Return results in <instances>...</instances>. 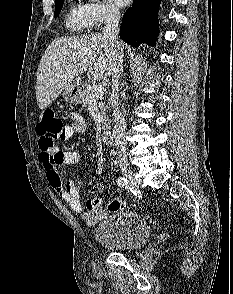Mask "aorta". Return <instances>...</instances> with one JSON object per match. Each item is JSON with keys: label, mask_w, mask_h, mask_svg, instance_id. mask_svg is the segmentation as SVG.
<instances>
[{"label": "aorta", "mask_w": 233, "mask_h": 294, "mask_svg": "<svg viewBox=\"0 0 233 294\" xmlns=\"http://www.w3.org/2000/svg\"><path fill=\"white\" fill-rule=\"evenodd\" d=\"M89 1H91V2H95V1H98V0H89Z\"/></svg>", "instance_id": "aorta-1"}]
</instances>
